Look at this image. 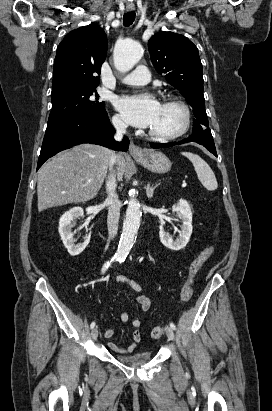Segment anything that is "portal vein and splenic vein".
I'll return each mask as SVG.
<instances>
[{"label": "portal vein and splenic vein", "mask_w": 272, "mask_h": 411, "mask_svg": "<svg viewBox=\"0 0 272 411\" xmlns=\"http://www.w3.org/2000/svg\"><path fill=\"white\" fill-rule=\"evenodd\" d=\"M187 186V183L186 182H183L182 183V187L184 188V187H186Z\"/></svg>", "instance_id": "portal-vein-and-splenic-vein-1"}]
</instances>
